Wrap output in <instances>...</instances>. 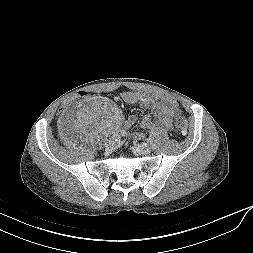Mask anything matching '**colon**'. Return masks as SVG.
Here are the masks:
<instances>
[{"label": "colon", "instance_id": "5ec220e1", "mask_svg": "<svg viewBox=\"0 0 253 253\" xmlns=\"http://www.w3.org/2000/svg\"><path fill=\"white\" fill-rule=\"evenodd\" d=\"M91 97V92L89 90H78L74 93L65 96L57 106V111L59 113H64L68 106L76 103L81 99H89ZM175 128L181 134H186L188 129V122L184 117H178L175 121Z\"/></svg>", "mask_w": 253, "mask_h": 253}]
</instances>
